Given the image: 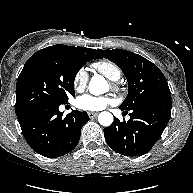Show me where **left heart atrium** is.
I'll return each mask as SVG.
<instances>
[{"instance_id": "obj_1", "label": "left heart atrium", "mask_w": 193, "mask_h": 193, "mask_svg": "<svg viewBox=\"0 0 193 193\" xmlns=\"http://www.w3.org/2000/svg\"><path fill=\"white\" fill-rule=\"evenodd\" d=\"M113 103L109 96L84 94L76 99V107L85 111H100Z\"/></svg>"}]
</instances>
